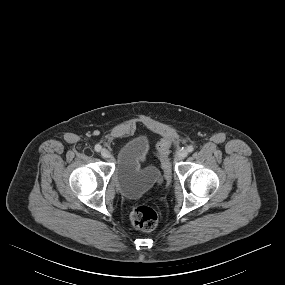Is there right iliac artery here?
<instances>
[{"mask_svg":"<svg viewBox=\"0 0 285 285\" xmlns=\"http://www.w3.org/2000/svg\"><path fill=\"white\" fill-rule=\"evenodd\" d=\"M94 149H95V151L99 152L101 150V145L96 144Z\"/></svg>","mask_w":285,"mask_h":285,"instance_id":"1","label":"right iliac artery"}]
</instances>
